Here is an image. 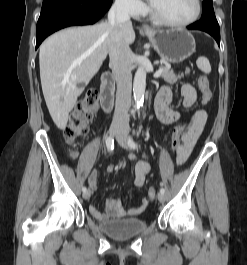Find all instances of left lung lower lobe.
Here are the masks:
<instances>
[{"label": "left lung lower lobe", "mask_w": 247, "mask_h": 265, "mask_svg": "<svg viewBox=\"0 0 247 265\" xmlns=\"http://www.w3.org/2000/svg\"><path fill=\"white\" fill-rule=\"evenodd\" d=\"M190 30H202L212 35L220 46V29L216 20L212 0L203 1V13L201 19L187 27Z\"/></svg>", "instance_id": "obj_1"}]
</instances>
